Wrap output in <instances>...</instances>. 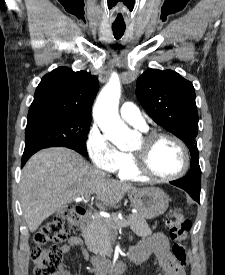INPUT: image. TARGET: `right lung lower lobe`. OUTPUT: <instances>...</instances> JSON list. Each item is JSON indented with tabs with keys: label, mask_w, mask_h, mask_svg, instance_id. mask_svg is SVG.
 <instances>
[{
	"label": "right lung lower lobe",
	"mask_w": 225,
	"mask_h": 275,
	"mask_svg": "<svg viewBox=\"0 0 225 275\" xmlns=\"http://www.w3.org/2000/svg\"><path fill=\"white\" fill-rule=\"evenodd\" d=\"M35 152H29V153H24L22 157V167L26 163V161L34 154Z\"/></svg>",
	"instance_id": "obj_1"
}]
</instances>
